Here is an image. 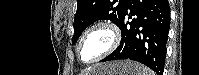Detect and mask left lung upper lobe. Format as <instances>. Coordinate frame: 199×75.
I'll return each mask as SVG.
<instances>
[{
	"label": "left lung upper lobe",
	"mask_w": 199,
	"mask_h": 75,
	"mask_svg": "<svg viewBox=\"0 0 199 75\" xmlns=\"http://www.w3.org/2000/svg\"><path fill=\"white\" fill-rule=\"evenodd\" d=\"M130 0H78L74 18L72 45L81 33L93 22L109 19L117 26L120 24Z\"/></svg>",
	"instance_id": "obj_1"
}]
</instances>
